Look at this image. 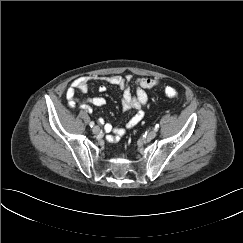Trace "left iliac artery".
<instances>
[{"mask_svg": "<svg viewBox=\"0 0 243 243\" xmlns=\"http://www.w3.org/2000/svg\"><path fill=\"white\" fill-rule=\"evenodd\" d=\"M158 129H159V124H156L155 127H154V130L158 131Z\"/></svg>", "mask_w": 243, "mask_h": 243, "instance_id": "left-iliac-artery-1", "label": "left iliac artery"}]
</instances>
